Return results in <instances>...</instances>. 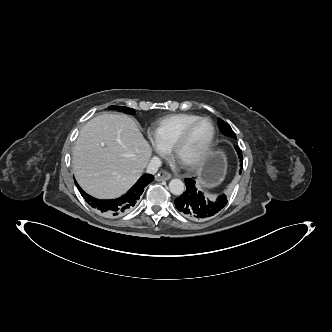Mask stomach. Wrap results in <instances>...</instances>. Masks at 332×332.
<instances>
[{"mask_svg":"<svg viewBox=\"0 0 332 332\" xmlns=\"http://www.w3.org/2000/svg\"><path fill=\"white\" fill-rule=\"evenodd\" d=\"M225 172L224 154L220 151L210 152L198 169L199 187L209 190L218 186L222 182Z\"/></svg>","mask_w":332,"mask_h":332,"instance_id":"0dacf381","label":"stomach"}]
</instances>
